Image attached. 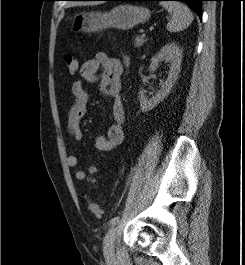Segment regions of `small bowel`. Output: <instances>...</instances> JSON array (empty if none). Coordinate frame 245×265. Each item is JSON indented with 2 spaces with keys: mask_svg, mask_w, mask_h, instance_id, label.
Returning a JSON list of instances; mask_svg holds the SVG:
<instances>
[{
  "mask_svg": "<svg viewBox=\"0 0 245 265\" xmlns=\"http://www.w3.org/2000/svg\"><path fill=\"white\" fill-rule=\"evenodd\" d=\"M100 68L103 69V72L98 74ZM79 73L81 80L73 82L71 86L74 103L67 114L68 134L74 141L82 139L81 121L87 112L89 102V93L84 88L83 82H98L101 91L112 100L113 123L106 135L95 137L94 146L99 151H111L120 146L124 140L125 110L121 100L123 65L118 58L98 52L82 64ZM67 164L70 168H76L77 157L73 154L69 155ZM75 177L77 180H84L86 173L77 169Z\"/></svg>",
  "mask_w": 245,
  "mask_h": 265,
  "instance_id": "obj_1",
  "label": "small bowel"
}]
</instances>
